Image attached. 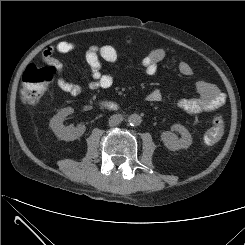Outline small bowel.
<instances>
[{
  "label": "small bowel",
  "mask_w": 245,
  "mask_h": 245,
  "mask_svg": "<svg viewBox=\"0 0 245 245\" xmlns=\"http://www.w3.org/2000/svg\"><path fill=\"white\" fill-rule=\"evenodd\" d=\"M84 51L86 63L91 73V81L85 87L81 84L73 83L67 80L63 63L58 60L55 53H74ZM169 53L164 49H154L142 59V66L146 75H153L160 63L165 61ZM118 59L116 49L110 45L90 46L83 48L77 43L70 41H61L53 46L46 48L40 57V60L50 65L57 74L58 87L69 93L72 96H79L85 88L89 89H106L112 86L113 79L109 74L102 72V61L113 63ZM178 71L183 76H191L193 69L191 65L185 61L178 63ZM198 97L184 99L177 102L176 107L188 114H198L209 112L219 108L225 102V95L218 89L216 85L208 81H198L196 83ZM152 102H157L161 99L158 92H151L148 96Z\"/></svg>",
  "instance_id": "1"
}]
</instances>
